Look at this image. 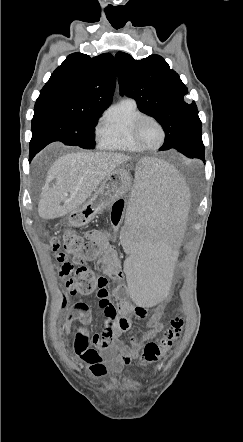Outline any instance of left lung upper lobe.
I'll return each mask as SVG.
<instances>
[{"label":"left lung upper lobe","instance_id":"5c2ea615","mask_svg":"<svg viewBox=\"0 0 243 442\" xmlns=\"http://www.w3.org/2000/svg\"><path fill=\"white\" fill-rule=\"evenodd\" d=\"M121 94L135 98L140 111L154 117L165 131L160 150L184 147L200 139L202 123L195 102L186 103L187 87L159 55L135 60L131 55H115Z\"/></svg>","mask_w":243,"mask_h":442}]
</instances>
